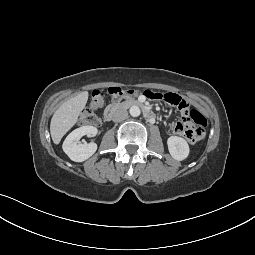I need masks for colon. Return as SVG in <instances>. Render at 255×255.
Here are the masks:
<instances>
[{
  "label": "colon",
  "mask_w": 255,
  "mask_h": 255,
  "mask_svg": "<svg viewBox=\"0 0 255 255\" xmlns=\"http://www.w3.org/2000/svg\"><path fill=\"white\" fill-rule=\"evenodd\" d=\"M137 93L135 89H127L121 87H110L108 95L113 100H120L123 97L131 96ZM147 98L155 100H163L166 103L178 106L180 99L171 93H158L152 90L144 92ZM105 95L100 90H95L92 94V99L88 108H86L79 119L82 126H97L100 124V118L95 113L104 104ZM184 122L177 128L176 132L186 138L189 143H196L204 137V127L207 124V119L203 114L196 110L186 109L182 112Z\"/></svg>",
  "instance_id": "5ec220e1"
}]
</instances>
